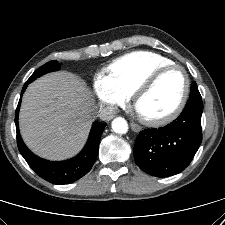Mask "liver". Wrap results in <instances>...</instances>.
<instances>
[{"label":"liver","instance_id":"liver-1","mask_svg":"<svg viewBox=\"0 0 225 225\" xmlns=\"http://www.w3.org/2000/svg\"><path fill=\"white\" fill-rule=\"evenodd\" d=\"M96 106L85 82L67 71L46 74L25 91L19 126L26 145L38 156L64 160L84 146Z\"/></svg>","mask_w":225,"mask_h":225}]
</instances>
